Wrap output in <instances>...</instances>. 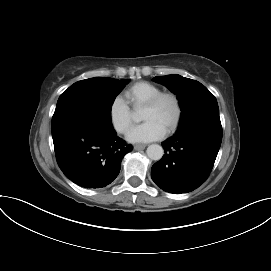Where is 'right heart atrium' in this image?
<instances>
[{"mask_svg": "<svg viewBox=\"0 0 271 271\" xmlns=\"http://www.w3.org/2000/svg\"><path fill=\"white\" fill-rule=\"evenodd\" d=\"M108 113L110 124L117 133L125 134L132 126V112L122 97L116 96L112 100Z\"/></svg>", "mask_w": 271, "mask_h": 271, "instance_id": "d8ad5b80", "label": "right heart atrium"}]
</instances>
